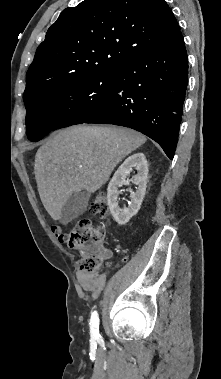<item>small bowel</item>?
Masks as SVG:
<instances>
[{
	"label": "small bowel",
	"mask_w": 221,
	"mask_h": 379,
	"mask_svg": "<svg viewBox=\"0 0 221 379\" xmlns=\"http://www.w3.org/2000/svg\"><path fill=\"white\" fill-rule=\"evenodd\" d=\"M112 253L108 249H103L101 254V263L108 262ZM77 279L81 286L91 293L93 299L98 298L101 290L105 284V275L101 274L99 270L93 273L80 272L77 275Z\"/></svg>",
	"instance_id": "obj_1"
}]
</instances>
